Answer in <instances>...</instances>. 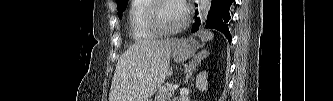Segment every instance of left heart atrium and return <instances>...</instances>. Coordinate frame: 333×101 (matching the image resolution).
I'll return each mask as SVG.
<instances>
[{
  "label": "left heart atrium",
  "instance_id": "1",
  "mask_svg": "<svg viewBox=\"0 0 333 101\" xmlns=\"http://www.w3.org/2000/svg\"><path fill=\"white\" fill-rule=\"evenodd\" d=\"M184 4L185 3L182 1V2H180V5H179V7L181 8L182 11H184V9H185V5Z\"/></svg>",
  "mask_w": 333,
  "mask_h": 101
}]
</instances>
